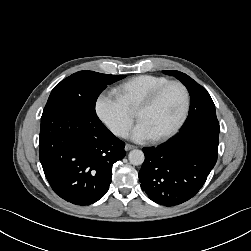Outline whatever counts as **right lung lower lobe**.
<instances>
[{"label": "right lung lower lobe", "mask_w": 251, "mask_h": 251, "mask_svg": "<svg viewBox=\"0 0 251 251\" xmlns=\"http://www.w3.org/2000/svg\"><path fill=\"white\" fill-rule=\"evenodd\" d=\"M39 158L54 192L76 205L98 201L109 189L113 164L126 152L98 117L76 109L41 117Z\"/></svg>", "instance_id": "98d812e1"}]
</instances>
